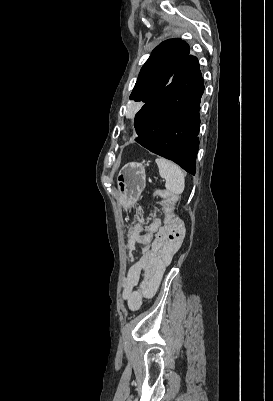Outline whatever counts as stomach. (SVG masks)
Here are the masks:
<instances>
[{"label": "stomach", "instance_id": "0dacf381", "mask_svg": "<svg viewBox=\"0 0 273 401\" xmlns=\"http://www.w3.org/2000/svg\"><path fill=\"white\" fill-rule=\"evenodd\" d=\"M118 205L128 211L137 203L146 186L145 166L142 162H127L117 176Z\"/></svg>", "mask_w": 273, "mask_h": 401}]
</instances>
